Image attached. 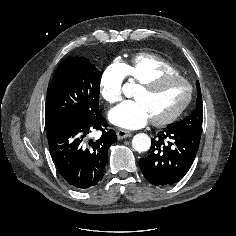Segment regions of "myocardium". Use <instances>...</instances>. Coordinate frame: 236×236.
<instances>
[{
	"label": "myocardium",
	"mask_w": 236,
	"mask_h": 236,
	"mask_svg": "<svg viewBox=\"0 0 236 236\" xmlns=\"http://www.w3.org/2000/svg\"><path fill=\"white\" fill-rule=\"evenodd\" d=\"M168 80L182 81L186 85L187 96L185 100L183 101V103L171 114L162 118H152L151 119L152 124L157 125V126L167 125L175 121L186 110V108L188 107V105L190 104L192 100L193 89H192L191 84L183 76L179 74H175V73H165V74L158 75L148 81L141 83L139 88L154 89L160 84H162L163 82L168 81Z\"/></svg>",
	"instance_id": "1"
}]
</instances>
